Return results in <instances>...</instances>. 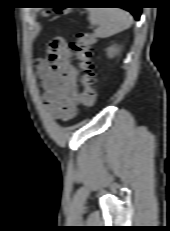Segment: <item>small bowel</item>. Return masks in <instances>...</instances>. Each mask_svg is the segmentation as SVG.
Wrapping results in <instances>:
<instances>
[{
  "label": "small bowel",
  "instance_id": "small-bowel-1",
  "mask_svg": "<svg viewBox=\"0 0 170 231\" xmlns=\"http://www.w3.org/2000/svg\"><path fill=\"white\" fill-rule=\"evenodd\" d=\"M70 55L68 41L56 37L46 47L45 58L37 62L47 110L62 121L75 117L80 98L78 74Z\"/></svg>",
  "mask_w": 170,
  "mask_h": 231
}]
</instances>
